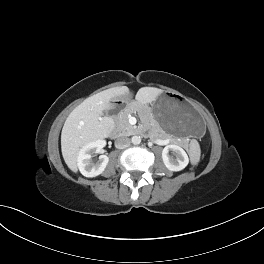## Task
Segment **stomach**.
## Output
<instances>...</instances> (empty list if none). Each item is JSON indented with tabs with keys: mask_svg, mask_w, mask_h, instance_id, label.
<instances>
[{
	"mask_svg": "<svg viewBox=\"0 0 264 264\" xmlns=\"http://www.w3.org/2000/svg\"><path fill=\"white\" fill-rule=\"evenodd\" d=\"M129 104L127 98L116 99ZM153 119L166 132L178 133L183 137H199L205 124L195 108L185 98L173 93L158 96L150 108Z\"/></svg>",
	"mask_w": 264,
	"mask_h": 264,
	"instance_id": "obj_1",
	"label": "stomach"
}]
</instances>
